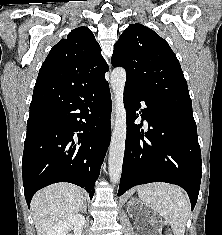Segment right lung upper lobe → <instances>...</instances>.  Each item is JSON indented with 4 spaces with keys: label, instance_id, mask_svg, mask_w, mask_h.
I'll list each match as a JSON object with an SVG mask.
<instances>
[{
    "label": "right lung upper lobe",
    "instance_id": "right-lung-upper-lobe-1",
    "mask_svg": "<svg viewBox=\"0 0 222 235\" xmlns=\"http://www.w3.org/2000/svg\"><path fill=\"white\" fill-rule=\"evenodd\" d=\"M108 70L92 31L78 27L52 47L41 66L34 90L50 87L59 92L69 91L98 81ZM50 119L49 109L40 100H33L28 122Z\"/></svg>",
    "mask_w": 222,
    "mask_h": 235
}]
</instances>
